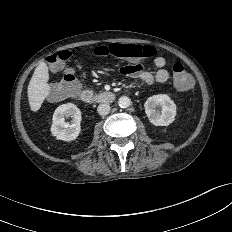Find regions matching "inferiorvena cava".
<instances>
[{"label":"inferior vena cava","instance_id":"inferior-vena-cava-1","mask_svg":"<svg viewBox=\"0 0 232 232\" xmlns=\"http://www.w3.org/2000/svg\"><path fill=\"white\" fill-rule=\"evenodd\" d=\"M98 113L101 116H105L110 112V106L108 104H100L97 108Z\"/></svg>","mask_w":232,"mask_h":232}]
</instances>
